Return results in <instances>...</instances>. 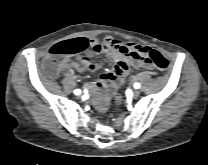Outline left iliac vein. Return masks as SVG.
<instances>
[{
    "instance_id": "obj_1",
    "label": "left iliac vein",
    "mask_w": 208,
    "mask_h": 165,
    "mask_svg": "<svg viewBox=\"0 0 208 165\" xmlns=\"http://www.w3.org/2000/svg\"><path fill=\"white\" fill-rule=\"evenodd\" d=\"M132 95H133L134 98H136L140 95V91L139 90H134Z\"/></svg>"
}]
</instances>
